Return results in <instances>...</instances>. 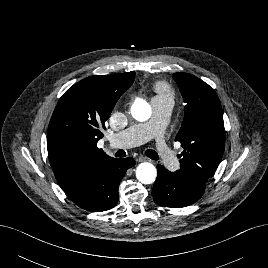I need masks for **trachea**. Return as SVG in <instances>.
Masks as SVG:
<instances>
[{"label":"trachea","instance_id":"1","mask_svg":"<svg viewBox=\"0 0 268 268\" xmlns=\"http://www.w3.org/2000/svg\"><path fill=\"white\" fill-rule=\"evenodd\" d=\"M145 154H146L149 158H151V159H153V160H159V157H158L157 153H156L154 150H152V149H147V150L145 151Z\"/></svg>","mask_w":268,"mask_h":268}]
</instances>
